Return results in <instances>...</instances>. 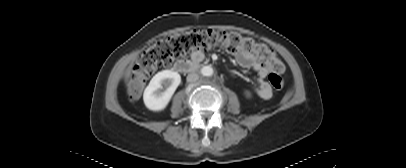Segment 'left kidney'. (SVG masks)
I'll list each match as a JSON object with an SVG mask.
<instances>
[{"mask_svg":"<svg viewBox=\"0 0 406 168\" xmlns=\"http://www.w3.org/2000/svg\"><path fill=\"white\" fill-rule=\"evenodd\" d=\"M245 94H246L247 97L251 96L250 92H248V91H246Z\"/></svg>","mask_w":406,"mask_h":168,"instance_id":"left-kidney-1","label":"left kidney"}]
</instances>
